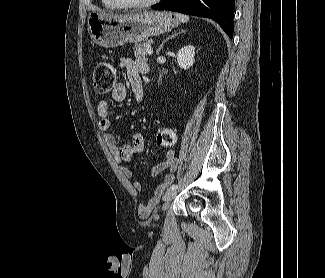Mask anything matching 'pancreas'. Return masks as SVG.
Listing matches in <instances>:
<instances>
[{
	"label": "pancreas",
	"mask_w": 325,
	"mask_h": 278,
	"mask_svg": "<svg viewBox=\"0 0 325 278\" xmlns=\"http://www.w3.org/2000/svg\"><path fill=\"white\" fill-rule=\"evenodd\" d=\"M151 44L152 40L147 39L143 43L135 45V47H133L135 57L139 60H145L147 57V50L151 48Z\"/></svg>",
	"instance_id": "cf45deb5"
}]
</instances>
